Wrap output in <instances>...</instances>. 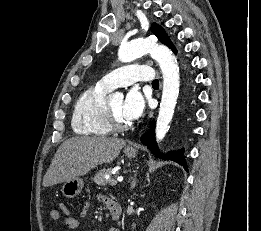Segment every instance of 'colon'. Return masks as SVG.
Listing matches in <instances>:
<instances>
[{"label": "colon", "mask_w": 261, "mask_h": 231, "mask_svg": "<svg viewBox=\"0 0 261 231\" xmlns=\"http://www.w3.org/2000/svg\"><path fill=\"white\" fill-rule=\"evenodd\" d=\"M61 211H62L63 213H66V212L68 211V208H67V206H66L65 204H62Z\"/></svg>", "instance_id": "colon-1"}]
</instances>
